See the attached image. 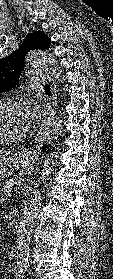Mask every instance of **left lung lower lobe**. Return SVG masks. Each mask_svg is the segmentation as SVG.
<instances>
[{
    "instance_id": "left-lung-lower-lobe-1",
    "label": "left lung lower lobe",
    "mask_w": 113,
    "mask_h": 279,
    "mask_svg": "<svg viewBox=\"0 0 113 279\" xmlns=\"http://www.w3.org/2000/svg\"><path fill=\"white\" fill-rule=\"evenodd\" d=\"M46 148H48V146L47 145H44L43 147H42V149L44 150V149H46Z\"/></svg>"
}]
</instances>
